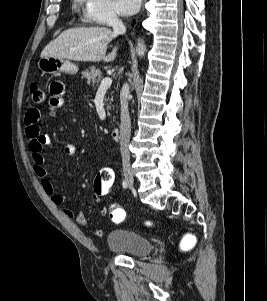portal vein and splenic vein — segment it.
<instances>
[{
    "label": "portal vein and splenic vein",
    "instance_id": "1",
    "mask_svg": "<svg viewBox=\"0 0 267 301\" xmlns=\"http://www.w3.org/2000/svg\"><path fill=\"white\" fill-rule=\"evenodd\" d=\"M112 84V79L110 77H105L99 86V90L108 89Z\"/></svg>",
    "mask_w": 267,
    "mask_h": 301
}]
</instances>
